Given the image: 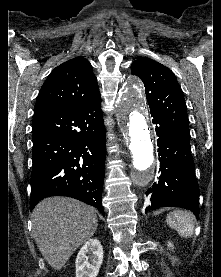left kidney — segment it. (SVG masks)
<instances>
[{"instance_id":"left-kidney-1","label":"left kidney","mask_w":221,"mask_h":277,"mask_svg":"<svg viewBox=\"0 0 221 277\" xmlns=\"http://www.w3.org/2000/svg\"><path fill=\"white\" fill-rule=\"evenodd\" d=\"M168 247L173 248V244L171 242H168Z\"/></svg>"}]
</instances>
